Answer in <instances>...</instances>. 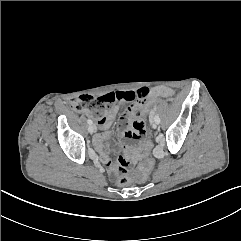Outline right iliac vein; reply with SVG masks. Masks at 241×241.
<instances>
[{"instance_id": "right-iliac-vein-1", "label": "right iliac vein", "mask_w": 241, "mask_h": 241, "mask_svg": "<svg viewBox=\"0 0 241 241\" xmlns=\"http://www.w3.org/2000/svg\"><path fill=\"white\" fill-rule=\"evenodd\" d=\"M97 130L96 126L94 124H91L89 127H88V131L89 133H95Z\"/></svg>"}]
</instances>
